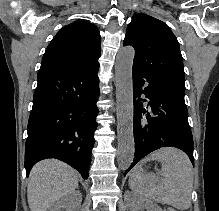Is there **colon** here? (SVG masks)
<instances>
[{
  "mask_svg": "<svg viewBox=\"0 0 219 211\" xmlns=\"http://www.w3.org/2000/svg\"><path fill=\"white\" fill-rule=\"evenodd\" d=\"M164 211H176L174 208H171V207H167V208H165V210Z\"/></svg>",
  "mask_w": 219,
  "mask_h": 211,
  "instance_id": "5ec220e1",
  "label": "colon"
}]
</instances>
